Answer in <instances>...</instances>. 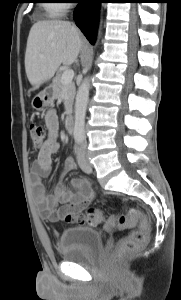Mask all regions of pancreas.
Returning <instances> with one entry per match:
<instances>
[{"label": "pancreas", "instance_id": "cf45deb5", "mask_svg": "<svg viewBox=\"0 0 181 300\" xmlns=\"http://www.w3.org/2000/svg\"><path fill=\"white\" fill-rule=\"evenodd\" d=\"M52 88L55 98L63 100L65 114H69L72 111L73 100L75 97V84H63L61 81V75L57 74L53 79Z\"/></svg>", "mask_w": 181, "mask_h": 300}]
</instances>
